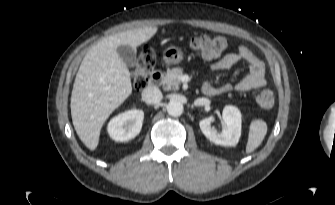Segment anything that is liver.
Listing matches in <instances>:
<instances>
[{
  "mask_svg": "<svg viewBox=\"0 0 335 205\" xmlns=\"http://www.w3.org/2000/svg\"><path fill=\"white\" fill-rule=\"evenodd\" d=\"M157 27L120 32L92 46L83 58L73 85L71 116L80 140L95 150L110 114L132 93L131 74L117 53L119 45L133 48L150 40Z\"/></svg>",
  "mask_w": 335,
  "mask_h": 205,
  "instance_id": "obj_1",
  "label": "liver"
}]
</instances>
